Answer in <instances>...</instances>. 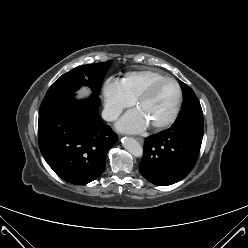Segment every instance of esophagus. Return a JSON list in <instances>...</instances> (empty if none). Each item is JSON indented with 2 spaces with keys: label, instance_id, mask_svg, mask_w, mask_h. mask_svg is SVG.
<instances>
[{
  "label": "esophagus",
  "instance_id": "1",
  "mask_svg": "<svg viewBox=\"0 0 248 248\" xmlns=\"http://www.w3.org/2000/svg\"><path fill=\"white\" fill-rule=\"evenodd\" d=\"M135 139H136L137 141H139L140 143H143V142H144L143 138H141V137H136Z\"/></svg>",
  "mask_w": 248,
  "mask_h": 248
}]
</instances>
